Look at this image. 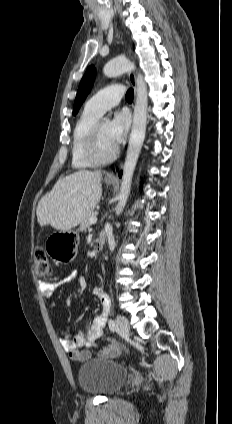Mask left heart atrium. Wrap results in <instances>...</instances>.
I'll return each mask as SVG.
<instances>
[{"instance_id":"obj_1","label":"left heart atrium","mask_w":232,"mask_h":424,"mask_svg":"<svg viewBox=\"0 0 232 424\" xmlns=\"http://www.w3.org/2000/svg\"><path fill=\"white\" fill-rule=\"evenodd\" d=\"M129 126L130 118L126 112L117 113L109 123V136L116 147L125 139Z\"/></svg>"}]
</instances>
